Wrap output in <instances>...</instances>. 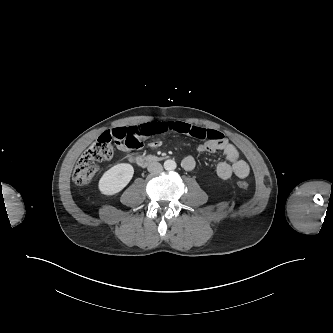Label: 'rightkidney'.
<instances>
[{
  "label": "right kidney",
  "mask_w": 333,
  "mask_h": 333,
  "mask_svg": "<svg viewBox=\"0 0 333 333\" xmlns=\"http://www.w3.org/2000/svg\"><path fill=\"white\" fill-rule=\"evenodd\" d=\"M133 166L127 163L116 164L108 169L99 180V190L103 195L119 193L132 179Z\"/></svg>",
  "instance_id": "1"
}]
</instances>
